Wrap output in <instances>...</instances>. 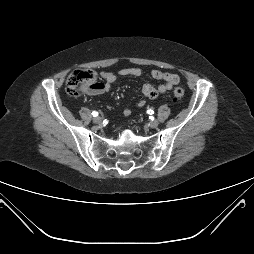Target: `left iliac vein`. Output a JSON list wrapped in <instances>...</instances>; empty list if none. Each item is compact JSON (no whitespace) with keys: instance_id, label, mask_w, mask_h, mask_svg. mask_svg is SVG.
Wrapping results in <instances>:
<instances>
[{"instance_id":"left-iliac-vein-1","label":"left iliac vein","mask_w":254,"mask_h":254,"mask_svg":"<svg viewBox=\"0 0 254 254\" xmlns=\"http://www.w3.org/2000/svg\"><path fill=\"white\" fill-rule=\"evenodd\" d=\"M158 125H159V122H158V120H156V119H153V120H151V121L149 122V126H150L151 128H156Z\"/></svg>"}]
</instances>
